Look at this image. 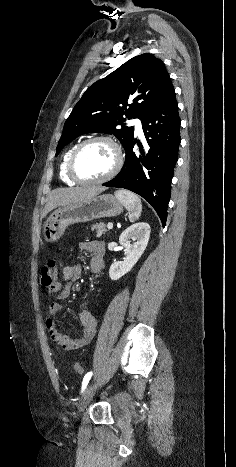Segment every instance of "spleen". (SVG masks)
<instances>
[{"mask_svg": "<svg viewBox=\"0 0 236 467\" xmlns=\"http://www.w3.org/2000/svg\"><path fill=\"white\" fill-rule=\"evenodd\" d=\"M115 197L128 210V217L131 222H134L140 217L142 212V203L136 194L128 190H117L115 192Z\"/></svg>", "mask_w": 236, "mask_h": 467, "instance_id": "1", "label": "spleen"}]
</instances>
